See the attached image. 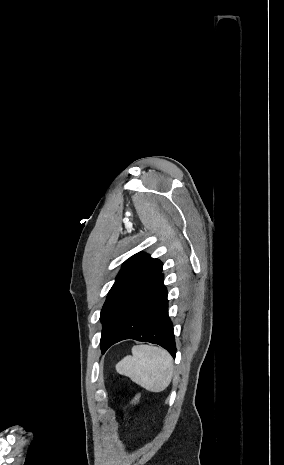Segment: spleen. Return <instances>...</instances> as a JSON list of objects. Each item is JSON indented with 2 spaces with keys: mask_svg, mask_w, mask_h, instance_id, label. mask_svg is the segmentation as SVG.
Returning <instances> with one entry per match:
<instances>
[{
  "mask_svg": "<svg viewBox=\"0 0 284 465\" xmlns=\"http://www.w3.org/2000/svg\"><path fill=\"white\" fill-rule=\"evenodd\" d=\"M119 375L129 377L151 393H161L173 377V361L167 351L150 345L132 347V357L127 355L115 367Z\"/></svg>",
  "mask_w": 284,
  "mask_h": 465,
  "instance_id": "1",
  "label": "spleen"
}]
</instances>
